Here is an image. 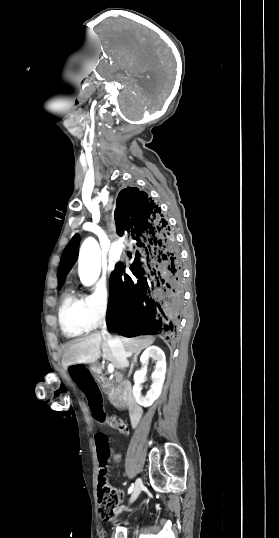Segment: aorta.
Returning <instances> with one entry per match:
<instances>
[{
  "label": "aorta",
  "instance_id": "aorta-1",
  "mask_svg": "<svg viewBox=\"0 0 279 538\" xmlns=\"http://www.w3.org/2000/svg\"><path fill=\"white\" fill-rule=\"evenodd\" d=\"M78 269L80 281L85 286L93 285L101 271V257L98 242L87 238L79 251Z\"/></svg>",
  "mask_w": 279,
  "mask_h": 538
}]
</instances>
